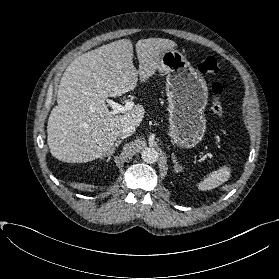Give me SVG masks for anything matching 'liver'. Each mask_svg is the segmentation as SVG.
I'll return each instance as SVG.
<instances>
[{
  "mask_svg": "<svg viewBox=\"0 0 279 279\" xmlns=\"http://www.w3.org/2000/svg\"><path fill=\"white\" fill-rule=\"evenodd\" d=\"M177 44L169 39L138 40L137 70L133 45L121 39L75 58L66 68L57 92V103L47 124V143L53 157L81 163L104 157L124 126L137 128L144 117L142 105L124 114H110L106 100L119 97L153 76L161 54Z\"/></svg>",
  "mask_w": 279,
  "mask_h": 279,
  "instance_id": "1",
  "label": "liver"
}]
</instances>
